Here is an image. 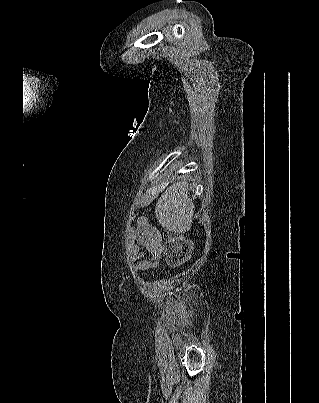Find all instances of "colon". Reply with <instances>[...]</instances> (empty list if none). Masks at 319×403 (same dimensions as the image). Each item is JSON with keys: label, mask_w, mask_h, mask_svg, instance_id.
<instances>
[{"label": "colon", "mask_w": 319, "mask_h": 403, "mask_svg": "<svg viewBox=\"0 0 319 403\" xmlns=\"http://www.w3.org/2000/svg\"><path fill=\"white\" fill-rule=\"evenodd\" d=\"M137 230L141 237L137 240V247L147 248L151 259H156L163 252L170 265L180 266L191 258L193 245L179 234L167 232L161 236L155 228L143 220Z\"/></svg>", "instance_id": "1"}]
</instances>
